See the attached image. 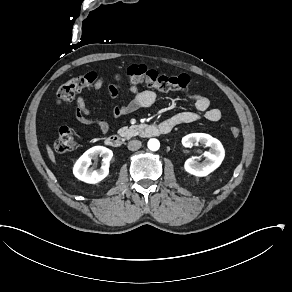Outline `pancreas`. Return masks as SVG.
I'll return each instance as SVG.
<instances>
[{
  "instance_id": "1",
  "label": "pancreas",
  "mask_w": 292,
  "mask_h": 292,
  "mask_svg": "<svg viewBox=\"0 0 292 292\" xmlns=\"http://www.w3.org/2000/svg\"><path fill=\"white\" fill-rule=\"evenodd\" d=\"M136 129H137L136 125L131 127H123L118 131V134L122 137L130 138L138 134Z\"/></svg>"
}]
</instances>
